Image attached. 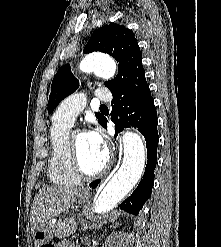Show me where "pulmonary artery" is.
Returning <instances> with one entry per match:
<instances>
[{
	"instance_id": "obj_1",
	"label": "pulmonary artery",
	"mask_w": 221,
	"mask_h": 247,
	"mask_svg": "<svg viewBox=\"0 0 221 247\" xmlns=\"http://www.w3.org/2000/svg\"><path fill=\"white\" fill-rule=\"evenodd\" d=\"M95 97L102 101H109L111 100L112 95L108 90H97L95 92ZM85 105L86 96L84 93L79 92L72 94L60 104L55 112L54 118L70 125L81 113Z\"/></svg>"
}]
</instances>
